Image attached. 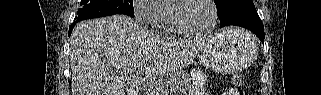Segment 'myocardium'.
I'll list each match as a JSON object with an SVG mask.
<instances>
[{
	"label": "myocardium",
	"mask_w": 321,
	"mask_h": 95,
	"mask_svg": "<svg viewBox=\"0 0 321 95\" xmlns=\"http://www.w3.org/2000/svg\"><path fill=\"white\" fill-rule=\"evenodd\" d=\"M191 0H172L170 2V4L167 7V13H166V21H167V25L168 28L179 34V35H184V36H205L207 34H210L216 27L217 25V21H218V10H217V6L214 0H206L211 8H212V22L210 24V26L202 31H197V30H192L189 28H186L184 26H182L181 24H179V22L176 20L175 17V13L178 9V7Z\"/></svg>",
	"instance_id": "obj_1"
}]
</instances>
